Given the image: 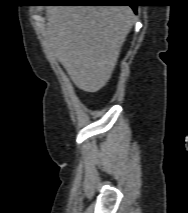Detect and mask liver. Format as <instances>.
I'll list each match as a JSON object with an SVG mask.
<instances>
[{
  "label": "liver",
  "mask_w": 188,
  "mask_h": 213,
  "mask_svg": "<svg viewBox=\"0 0 188 213\" xmlns=\"http://www.w3.org/2000/svg\"><path fill=\"white\" fill-rule=\"evenodd\" d=\"M47 42L81 90L102 89L113 73L135 15L129 6H50Z\"/></svg>",
  "instance_id": "1"
}]
</instances>
